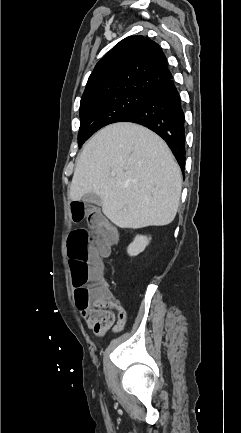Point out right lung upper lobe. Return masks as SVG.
I'll return each instance as SVG.
<instances>
[{"label": "right lung upper lobe", "instance_id": "1", "mask_svg": "<svg viewBox=\"0 0 241 433\" xmlns=\"http://www.w3.org/2000/svg\"><path fill=\"white\" fill-rule=\"evenodd\" d=\"M171 78L166 56L159 45L143 36H129L97 63L81 102L128 91L147 94L154 86ZM182 149L183 154L185 145Z\"/></svg>", "mask_w": 241, "mask_h": 433}]
</instances>
